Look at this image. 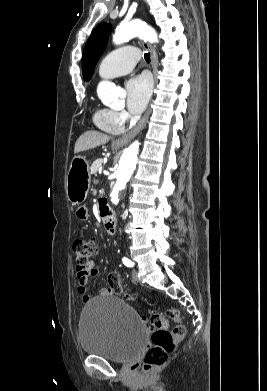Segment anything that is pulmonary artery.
<instances>
[{
    "instance_id": "pulmonary-artery-1",
    "label": "pulmonary artery",
    "mask_w": 267,
    "mask_h": 391,
    "mask_svg": "<svg viewBox=\"0 0 267 391\" xmlns=\"http://www.w3.org/2000/svg\"><path fill=\"white\" fill-rule=\"evenodd\" d=\"M139 58V51L133 46L118 48L102 59L98 75L101 79L125 75L133 70Z\"/></svg>"
}]
</instances>
